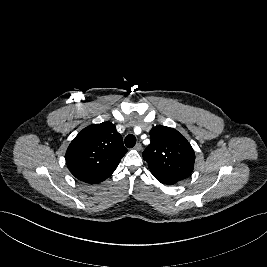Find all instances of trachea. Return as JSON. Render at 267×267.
<instances>
[{
  "label": "trachea",
  "instance_id": "obj_1",
  "mask_svg": "<svg viewBox=\"0 0 267 267\" xmlns=\"http://www.w3.org/2000/svg\"><path fill=\"white\" fill-rule=\"evenodd\" d=\"M136 144V137L132 134H129L125 138V145L127 148H133Z\"/></svg>",
  "mask_w": 267,
  "mask_h": 267
}]
</instances>
